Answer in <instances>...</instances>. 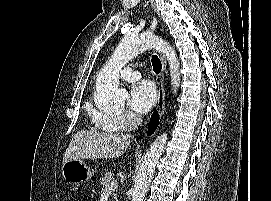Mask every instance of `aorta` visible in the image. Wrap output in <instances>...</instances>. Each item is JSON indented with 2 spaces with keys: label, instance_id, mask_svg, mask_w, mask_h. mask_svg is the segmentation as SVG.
Segmentation results:
<instances>
[{
  "label": "aorta",
  "instance_id": "aorta-1",
  "mask_svg": "<svg viewBox=\"0 0 271 201\" xmlns=\"http://www.w3.org/2000/svg\"><path fill=\"white\" fill-rule=\"evenodd\" d=\"M157 49L167 57L173 93L180 85V63L175 50L152 33L126 34L115 49L103 74L96 83L95 103L99 108L122 106L127 92L118 87L119 71L140 52ZM168 140L163 133L150 145L138 170L132 190V201H143L154 174L157 161Z\"/></svg>",
  "mask_w": 271,
  "mask_h": 201
}]
</instances>
